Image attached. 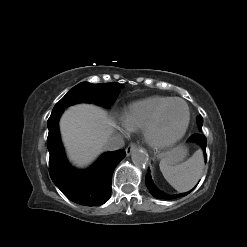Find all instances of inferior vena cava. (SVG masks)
<instances>
[{"instance_id":"602c4592","label":"inferior vena cava","mask_w":247,"mask_h":247,"mask_svg":"<svg viewBox=\"0 0 247 247\" xmlns=\"http://www.w3.org/2000/svg\"><path fill=\"white\" fill-rule=\"evenodd\" d=\"M124 146V140L121 137H111L105 144V149L108 151H115Z\"/></svg>"}]
</instances>
